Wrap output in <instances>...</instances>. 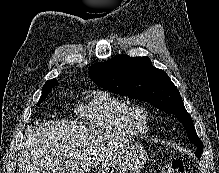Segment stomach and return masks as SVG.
<instances>
[{
  "label": "stomach",
  "instance_id": "1",
  "mask_svg": "<svg viewBox=\"0 0 219 173\" xmlns=\"http://www.w3.org/2000/svg\"><path fill=\"white\" fill-rule=\"evenodd\" d=\"M148 155L143 146L124 143L109 154L97 173H138L145 165Z\"/></svg>",
  "mask_w": 219,
  "mask_h": 173
}]
</instances>
